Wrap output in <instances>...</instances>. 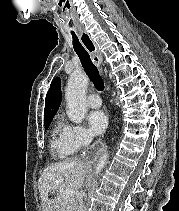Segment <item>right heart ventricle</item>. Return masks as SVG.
Masks as SVG:
<instances>
[{"label": "right heart ventricle", "mask_w": 179, "mask_h": 211, "mask_svg": "<svg viewBox=\"0 0 179 211\" xmlns=\"http://www.w3.org/2000/svg\"><path fill=\"white\" fill-rule=\"evenodd\" d=\"M65 125L61 121H56L54 124L51 141H50V149L52 155L57 159H64L70 156L74 149L68 143L65 136Z\"/></svg>", "instance_id": "right-heart-ventricle-1"}]
</instances>
